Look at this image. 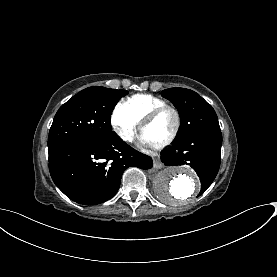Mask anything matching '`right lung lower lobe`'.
Masks as SVG:
<instances>
[{
  "label": "right lung lower lobe",
  "mask_w": 277,
  "mask_h": 277,
  "mask_svg": "<svg viewBox=\"0 0 277 277\" xmlns=\"http://www.w3.org/2000/svg\"><path fill=\"white\" fill-rule=\"evenodd\" d=\"M131 166L150 169L152 159L117 134L49 149V170L56 186L71 200L94 205L112 198L123 172Z\"/></svg>",
  "instance_id": "98d812e1"
}]
</instances>
